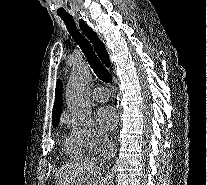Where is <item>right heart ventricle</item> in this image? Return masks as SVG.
<instances>
[{
	"label": "right heart ventricle",
	"instance_id": "1",
	"mask_svg": "<svg viewBox=\"0 0 207 185\" xmlns=\"http://www.w3.org/2000/svg\"><path fill=\"white\" fill-rule=\"evenodd\" d=\"M66 153L76 159H81L87 154L91 153L76 137L70 136L66 139L65 143Z\"/></svg>",
	"mask_w": 207,
	"mask_h": 185
}]
</instances>
